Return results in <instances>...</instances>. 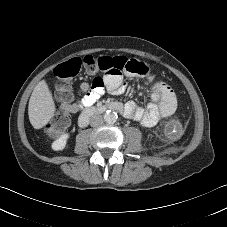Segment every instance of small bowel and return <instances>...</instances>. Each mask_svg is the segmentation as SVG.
<instances>
[{
    "label": "small bowel",
    "mask_w": 227,
    "mask_h": 227,
    "mask_svg": "<svg viewBox=\"0 0 227 227\" xmlns=\"http://www.w3.org/2000/svg\"><path fill=\"white\" fill-rule=\"evenodd\" d=\"M149 79H152L149 76ZM105 85L94 87L93 84L82 82L80 90L83 96L80 100L72 104H60L62 111L77 112L85 107L93 105L105 91L112 95H121L125 91V84L120 75H108L104 79ZM177 107V98L173 89L163 82H156L150 95V102L146 107L139 106L134 101H129L125 105L124 114L127 118L139 121L145 127H154L161 118L171 116Z\"/></svg>",
    "instance_id": "1"
}]
</instances>
